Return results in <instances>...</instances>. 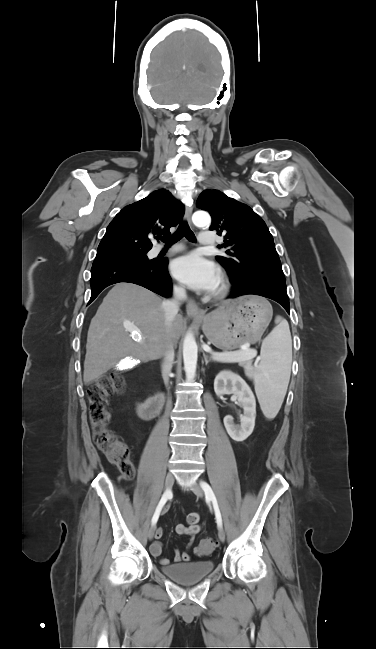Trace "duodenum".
<instances>
[{
    "instance_id": "obj_1",
    "label": "duodenum",
    "mask_w": 376,
    "mask_h": 649,
    "mask_svg": "<svg viewBox=\"0 0 376 649\" xmlns=\"http://www.w3.org/2000/svg\"><path fill=\"white\" fill-rule=\"evenodd\" d=\"M162 396H151L136 402V411L140 418L149 420L157 416L162 408Z\"/></svg>"
}]
</instances>
